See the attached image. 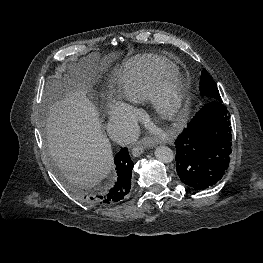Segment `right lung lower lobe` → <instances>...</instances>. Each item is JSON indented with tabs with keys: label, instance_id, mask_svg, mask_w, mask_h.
<instances>
[{
	"label": "right lung lower lobe",
	"instance_id": "1",
	"mask_svg": "<svg viewBox=\"0 0 263 263\" xmlns=\"http://www.w3.org/2000/svg\"><path fill=\"white\" fill-rule=\"evenodd\" d=\"M117 169V180L115 185L103 195L87 196L89 201L102 205H113L129 193L131 188V176L133 162L129 156L128 149L122 148L114 158Z\"/></svg>",
	"mask_w": 263,
	"mask_h": 263
}]
</instances>
